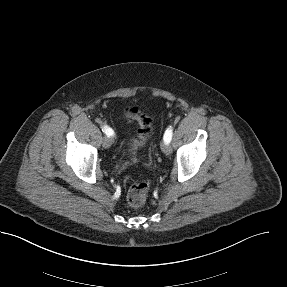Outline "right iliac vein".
Listing matches in <instances>:
<instances>
[{"label": "right iliac vein", "mask_w": 287, "mask_h": 287, "mask_svg": "<svg viewBox=\"0 0 287 287\" xmlns=\"http://www.w3.org/2000/svg\"><path fill=\"white\" fill-rule=\"evenodd\" d=\"M112 141H113V140H112L111 137L105 136V137L103 138V141H102L103 147L109 148V147L111 146V144H112Z\"/></svg>", "instance_id": "right-iliac-vein-1"}]
</instances>
